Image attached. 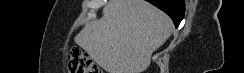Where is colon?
Wrapping results in <instances>:
<instances>
[{
    "label": "colon",
    "instance_id": "colon-1",
    "mask_svg": "<svg viewBox=\"0 0 244 73\" xmlns=\"http://www.w3.org/2000/svg\"><path fill=\"white\" fill-rule=\"evenodd\" d=\"M67 67L69 73H102V70L97 66L91 57L79 48L71 51Z\"/></svg>",
    "mask_w": 244,
    "mask_h": 73
}]
</instances>
